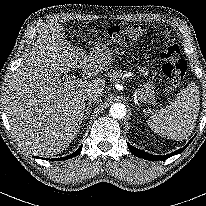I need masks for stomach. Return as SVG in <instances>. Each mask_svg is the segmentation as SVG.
<instances>
[{
    "label": "stomach",
    "mask_w": 206,
    "mask_h": 206,
    "mask_svg": "<svg viewBox=\"0 0 206 206\" xmlns=\"http://www.w3.org/2000/svg\"><path fill=\"white\" fill-rule=\"evenodd\" d=\"M98 47L103 49L107 61L110 62L112 58V54L114 53V50L109 47V44H99ZM138 99L146 104L153 103L156 99V94H155V84L154 80H148L144 84L140 85L139 91H138Z\"/></svg>",
    "instance_id": "0dacf381"
}]
</instances>
